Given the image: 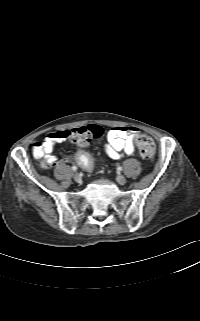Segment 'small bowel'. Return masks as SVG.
I'll list each match as a JSON object with an SVG mask.
<instances>
[{
    "instance_id": "obj_1",
    "label": "small bowel",
    "mask_w": 200,
    "mask_h": 321,
    "mask_svg": "<svg viewBox=\"0 0 200 321\" xmlns=\"http://www.w3.org/2000/svg\"><path fill=\"white\" fill-rule=\"evenodd\" d=\"M67 131H57L50 133L42 144L38 157H44L45 161L54 166L57 162L56 156L52 154L54 145L58 142L67 140ZM139 134V129L135 127H114L107 133V142L104 145L106 154L114 160L122 158L124 155L131 156L135 151L134 140ZM69 158H64L62 162H68Z\"/></svg>"
}]
</instances>
